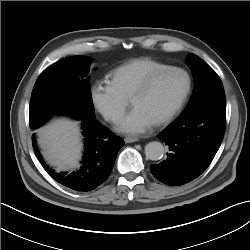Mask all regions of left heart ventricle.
Returning <instances> with one entry per match:
<instances>
[{"mask_svg": "<svg viewBox=\"0 0 250 250\" xmlns=\"http://www.w3.org/2000/svg\"><path fill=\"white\" fill-rule=\"evenodd\" d=\"M186 87V78L180 72H168L160 76L143 95L132 101L157 122L168 114L180 100Z\"/></svg>", "mask_w": 250, "mask_h": 250, "instance_id": "b2bd125f", "label": "left heart ventricle"}]
</instances>
